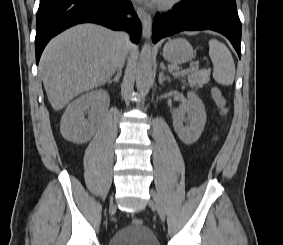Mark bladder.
I'll list each match as a JSON object with an SVG mask.
<instances>
[{
	"instance_id": "obj_1",
	"label": "bladder",
	"mask_w": 283,
	"mask_h": 245,
	"mask_svg": "<svg viewBox=\"0 0 283 245\" xmlns=\"http://www.w3.org/2000/svg\"><path fill=\"white\" fill-rule=\"evenodd\" d=\"M108 245H160L154 232L147 226H125L117 230Z\"/></svg>"
}]
</instances>
